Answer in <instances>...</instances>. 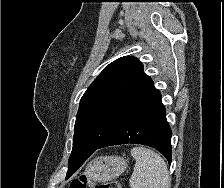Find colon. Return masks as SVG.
I'll return each instance as SVG.
<instances>
[{
  "label": "colon",
  "mask_w": 224,
  "mask_h": 188,
  "mask_svg": "<svg viewBox=\"0 0 224 188\" xmlns=\"http://www.w3.org/2000/svg\"><path fill=\"white\" fill-rule=\"evenodd\" d=\"M69 188H122L116 181H105L101 183H92L87 175H82L78 179L71 181Z\"/></svg>",
  "instance_id": "obj_1"
}]
</instances>
